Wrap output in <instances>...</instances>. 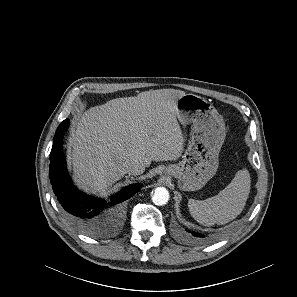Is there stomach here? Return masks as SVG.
<instances>
[{
    "label": "stomach",
    "mask_w": 297,
    "mask_h": 297,
    "mask_svg": "<svg viewBox=\"0 0 297 297\" xmlns=\"http://www.w3.org/2000/svg\"><path fill=\"white\" fill-rule=\"evenodd\" d=\"M176 117L184 126L192 124L191 137L182 160L169 165L165 173L178 180L181 190L196 191L217 172L225 123L211 103L195 94H185L177 100Z\"/></svg>",
    "instance_id": "1"
}]
</instances>
